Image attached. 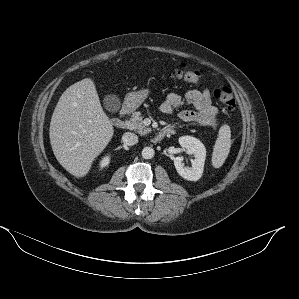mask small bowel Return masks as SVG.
<instances>
[{"label": "small bowel", "mask_w": 299, "mask_h": 299, "mask_svg": "<svg viewBox=\"0 0 299 299\" xmlns=\"http://www.w3.org/2000/svg\"><path fill=\"white\" fill-rule=\"evenodd\" d=\"M183 105H191L193 109L179 113L182 121L195 122L211 128L218 125V109L212 104L209 90H189L183 97L176 93H169L161 103L160 110L170 115Z\"/></svg>", "instance_id": "1"}]
</instances>
